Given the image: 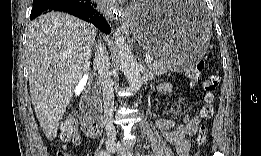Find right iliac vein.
Returning a JSON list of instances; mask_svg holds the SVG:
<instances>
[{
	"label": "right iliac vein",
	"instance_id": "1",
	"mask_svg": "<svg viewBox=\"0 0 261 156\" xmlns=\"http://www.w3.org/2000/svg\"><path fill=\"white\" fill-rule=\"evenodd\" d=\"M106 149L109 153H114L117 150V145L113 142H107Z\"/></svg>",
	"mask_w": 261,
	"mask_h": 156
}]
</instances>
